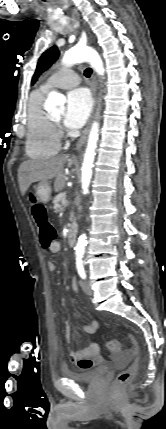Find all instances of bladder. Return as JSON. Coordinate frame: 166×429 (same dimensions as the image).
<instances>
[{
  "instance_id": "31cf9c89",
  "label": "bladder",
  "mask_w": 166,
  "mask_h": 429,
  "mask_svg": "<svg viewBox=\"0 0 166 429\" xmlns=\"http://www.w3.org/2000/svg\"><path fill=\"white\" fill-rule=\"evenodd\" d=\"M108 372V366L95 367L90 370L79 372L77 370L66 368L63 374L77 383H91L104 377Z\"/></svg>"
}]
</instances>
